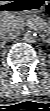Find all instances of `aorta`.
<instances>
[{
	"mask_svg": "<svg viewBox=\"0 0 50 111\" xmlns=\"http://www.w3.org/2000/svg\"><path fill=\"white\" fill-rule=\"evenodd\" d=\"M24 40L27 43H34L37 40V34L35 32L28 31L24 34Z\"/></svg>",
	"mask_w": 50,
	"mask_h": 111,
	"instance_id": "1",
	"label": "aorta"
}]
</instances>
